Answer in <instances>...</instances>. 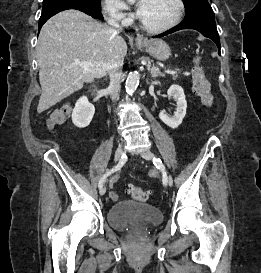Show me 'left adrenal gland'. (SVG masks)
<instances>
[{"label":"left adrenal gland","instance_id":"obj_1","mask_svg":"<svg viewBox=\"0 0 261 273\" xmlns=\"http://www.w3.org/2000/svg\"><path fill=\"white\" fill-rule=\"evenodd\" d=\"M150 74L152 78H155L157 76H164V74L160 72L159 68L154 65L150 69Z\"/></svg>","mask_w":261,"mask_h":273}]
</instances>
